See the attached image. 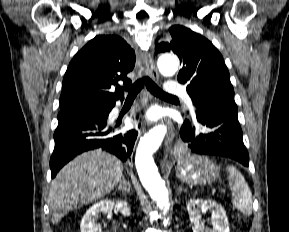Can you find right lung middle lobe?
Listing matches in <instances>:
<instances>
[{
    "label": "right lung middle lobe",
    "instance_id": "right-lung-middle-lobe-1",
    "mask_svg": "<svg viewBox=\"0 0 289 232\" xmlns=\"http://www.w3.org/2000/svg\"><path fill=\"white\" fill-rule=\"evenodd\" d=\"M107 108L86 107L70 110H62L59 112L57 118L59 121L72 120L80 118L99 117L106 111Z\"/></svg>",
    "mask_w": 289,
    "mask_h": 232
}]
</instances>
